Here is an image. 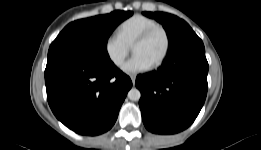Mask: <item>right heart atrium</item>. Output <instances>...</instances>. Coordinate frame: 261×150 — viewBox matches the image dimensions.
I'll use <instances>...</instances> for the list:
<instances>
[{
	"instance_id": "d8ad5b80",
	"label": "right heart atrium",
	"mask_w": 261,
	"mask_h": 150,
	"mask_svg": "<svg viewBox=\"0 0 261 150\" xmlns=\"http://www.w3.org/2000/svg\"><path fill=\"white\" fill-rule=\"evenodd\" d=\"M105 53L109 61L116 67H120L131 51V47L125 44L122 39L116 35H109L104 44Z\"/></svg>"
}]
</instances>
